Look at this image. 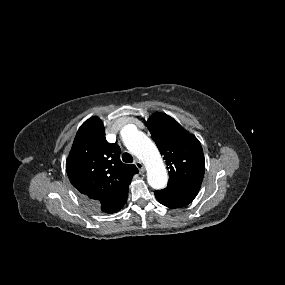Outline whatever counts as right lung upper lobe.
<instances>
[{"instance_id":"1","label":"right lung upper lobe","mask_w":285,"mask_h":285,"mask_svg":"<svg viewBox=\"0 0 285 285\" xmlns=\"http://www.w3.org/2000/svg\"><path fill=\"white\" fill-rule=\"evenodd\" d=\"M66 171L78 196L101 213H116L127 201L129 184L139 171L134 164H123L120 147L105 138L98 117L79 128L66 161Z\"/></svg>"}]
</instances>
